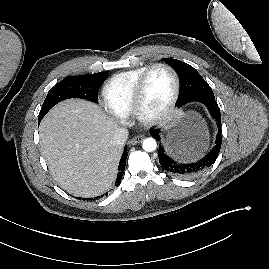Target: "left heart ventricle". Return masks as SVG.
Returning a JSON list of instances; mask_svg holds the SVG:
<instances>
[{
	"label": "left heart ventricle",
	"instance_id": "b2bd125f",
	"mask_svg": "<svg viewBox=\"0 0 269 269\" xmlns=\"http://www.w3.org/2000/svg\"><path fill=\"white\" fill-rule=\"evenodd\" d=\"M173 88L174 81L171 73L164 68L154 69L148 76L145 86V112L148 114L160 112L171 98Z\"/></svg>",
	"mask_w": 269,
	"mask_h": 269
}]
</instances>
